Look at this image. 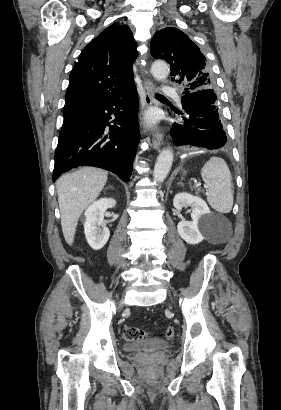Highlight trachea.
Wrapping results in <instances>:
<instances>
[{
	"mask_svg": "<svg viewBox=\"0 0 281 410\" xmlns=\"http://www.w3.org/2000/svg\"><path fill=\"white\" fill-rule=\"evenodd\" d=\"M157 98H164V96L160 95V94H156Z\"/></svg>",
	"mask_w": 281,
	"mask_h": 410,
	"instance_id": "trachea-1",
	"label": "trachea"
}]
</instances>
